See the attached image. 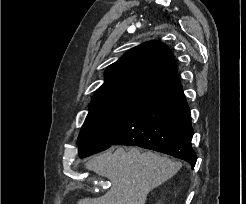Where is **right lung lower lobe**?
<instances>
[{
	"instance_id": "obj_1",
	"label": "right lung lower lobe",
	"mask_w": 246,
	"mask_h": 204,
	"mask_svg": "<svg viewBox=\"0 0 246 204\" xmlns=\"http://www.w3.org/2000/svg\"><path fill=\"white\" fill-rule=\"evenodd\" d=\"M193 128L182 85L176 77L135 99L112 145H136L191 164ZM111 145V146H112Z\"/></svg>"
}]
</instances>
